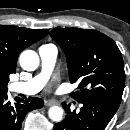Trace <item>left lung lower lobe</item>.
<instances>
[{
    "label": "left lung lower lobe",
    "mask_w": 130,
    "mask_h": 130,
    "mask_svg": "<svg viewBox=\"0 0 130 130\" xmlns=\"http://www.w3.org/2000/svg\"><path fill=\"white\" fill-rule=\"evenodd\" d=\"M79 112L71 111L70 104L62 103L67 115L53 130H103L117 111V107L99 99L81 100Z\"/></svg>",
    "instance_id": "0a47b994"
}]
</instances>
